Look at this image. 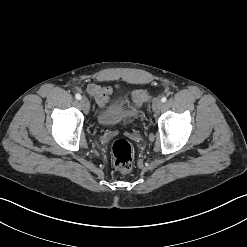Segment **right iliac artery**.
Here are the masks:
<instances>
[{
	"label": "right iliac artery",
	"instance_id": "1",
	"mask_svg": "<svg viewBox=\"0 0 247 247\" xmlns=\"http://www.w3.org/2000/svg\"><path fill=\"white\" fill-rule=\"evenodd\" d=\"M75 97H76L77 100H80L81 99V95L78 94V93L75 95Z\"/></svg>",
	"mask_w": 247,
	"mask_h": 247
}]
</instances>
